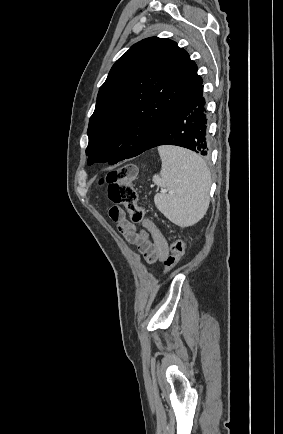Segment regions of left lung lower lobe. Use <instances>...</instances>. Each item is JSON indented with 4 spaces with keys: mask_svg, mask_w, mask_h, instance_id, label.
<instances>
[{
    "mask_svg": "<svg viewBox=\"0 0 283 434\" xmlns=\"http://www.w3.org/2000/svg\"><path fill=\"white\" fill-rule=\"evenodd\" d=\"M207 128L206 100L202 82L190 90L171 110L145 150L160 145H176L207 155Z\"/></svg>",
    "mask_w": 283,
    "mask_h": 434,
    "instance_id": "obj_1",
    "label": "left lung lower lobe"
}]
</instances>
